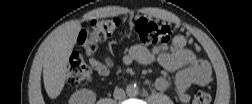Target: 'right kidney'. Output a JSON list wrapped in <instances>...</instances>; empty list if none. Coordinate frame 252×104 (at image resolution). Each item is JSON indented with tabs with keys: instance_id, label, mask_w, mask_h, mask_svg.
<instances>
[{
	"instance_id": "obj_1",
	"label": "right kidney",
	"mask_w": 252,
	"mask_h": 104,
	"mask_svg": "<svg viewBox=\"0 0 252 104\" xmlns=\"http://www.w3.org/2000/svg\"><path fill=\"white\" fill-rule=\"evenodd\" d=\"M96 100V95L93 91L82 89L73 93L70 97L71 104H93Z\"/></svg>"
}]
</instances>
